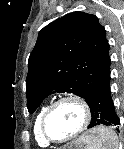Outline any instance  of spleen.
Masks as SVG:
<instances>
[{"mask_svg": "<svg viewBox=\"0 0 124 149\" xmlns=\"http://www.w3.org/2000/svg\"><path fill=\"white\" fill-rule=\"evenodd\" d=\"M97 129L94 136L85 139L86 149H114V147L117 149L118 140L113 131L104 127Z\"/></svg>", "mask_w": 124, "mask_h": 149, "instance_id": "spleen-1", "label": "spleen"}]
</instances>
